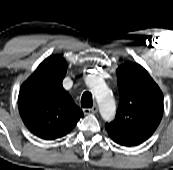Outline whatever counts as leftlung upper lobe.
Returning <instances> with one entry per match:
<instances>
[{"mask_svg": "<svg viewBox=\"0 0 173 170\" xmlns=\"http://www.w3.org/2000/svg\"><path fill=\"white\" fill-rule=\"evenodd\" d=\"M120 104L116 118L105 127L114 142L136 146L146 141L163 115V94L148 72L137 63L117 70Z\"/></svg>", "mask_w": 173, "mask_h": 170, "instance_id": "1", "label": "left lung upper lobe"}]
</instances>
